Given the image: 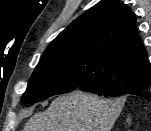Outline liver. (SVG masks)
Instances as JSON below:
<instances>
[{"label": "liver", "mask_w": 151, "mask_h": 131, "mask_svg": "<svg viewBox=\"0 0 151 131\" xmlns=\"http://www.w3.org/2000/svg\"><path fill=\"white\" fill-rule=\"evenodd\" d=\"M121 109L119 100L75 91L32 116L23 131H111Z\"/></svg>", "instance_id": "liver-1"}]
</instances>
